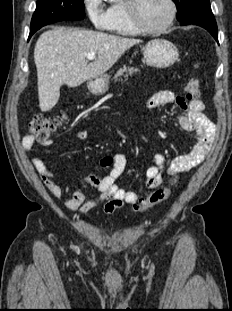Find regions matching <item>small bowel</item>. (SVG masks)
<instances>
[{"label": "small bowel", "instance_id": "obj_1", "mask_svg": "<svg viewBox=\"0 0 232 311\" xmlns=\"http://www.w3.org/2000/svg\"><path fill=\"white\" fill-rule=\"evenodd\" d=\"M175 105L185 111V114L177 115L180 127L196 135V143L189 152L179 156L172 162L167 163L163 154H155L152 158V165L146 170L145 185L147 188H156L161 184L162 173L174 174L191 170L202 163L209 154L216 135L215 125L204 114V104L201 100L187 101L171 90H160L146 100L149 110H156L164 106ZM88 136L86 130H79L74 133L78 141L85 140ZM39 142L42 146H50L53 139H37L33 134H26L22 139V147L25 151H31ZM32 164L42 179L47 189L57 198L63 195L68 196L66 207L79 214H87L96 205L105 203L104 213L112 214L124 204H135L139 201V194L132 191H125L116 185V180L123 173L126 166V157L117 153L107 156L101 160V166L109 168L104 176L91 175L86 178L85 185L98 190L99 195L87 199L82 187L73 190L62 188L55 182V175L38 156L32 157Z\"/></svg>", "mask_w": 232, "mask_h": 311}]
</instances>
